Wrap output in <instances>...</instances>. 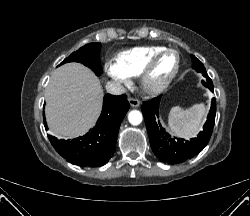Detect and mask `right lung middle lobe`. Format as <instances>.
<instances>
[{"mask_svg": "<svg viewBox=\"0 0 250 216\" xmlns=\"http://www.w3.org/2000/svg\"><path fill=\"white\" fill-rule=\"evenodd\" d=\"M100 48L101 43L87 44L78 51L72 53L61 64L67 62H79L92 69V71H94L97 76H100L102 73V67L100 63Z\"/></svg>", "mask_w": 250, "mask_h": 216, "instance_id": "right-lung-middle-lobe-1", "label": "right lung middle lobe"}]
</instances>
